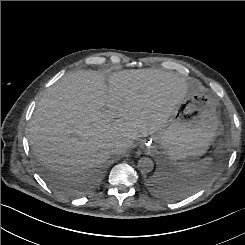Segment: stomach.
<instances>
[{"mask_svg": "<svg viewBox=\"0 0 245 245\" xmlns=\"http://www.w3.org/2000/svg\"><path fill=\"white\" fill-rule=\"evenodd\" d=\"M219 131L216 99L191 86L152 141L170 160L190 163L207 152Z\"/></svg>", "mask_w": 245, "mask_h": 245, "instance_id": "0dacf381", "label": "stomach"}]
</instances>
